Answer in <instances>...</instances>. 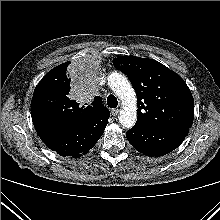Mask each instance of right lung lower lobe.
Here are the masks:
<instances>
[{
    "mask_svg": "<svg viewBox=\"0 0 220 220\" xmlns=\"http://www.w3.org/2000/svg\"><path fill=\"white\" fill-rule=\"evenodd\" d=\"M109 117L110 113H100L74 126H44L36 128V131L41 140L57 154L78 158L95 146Z\"/></svg>",
    "mask_w": 220,
    "mask_h": 220,
    "instance_id": "right-lung-lower-lobe-1",
    "label": "right lung lower lobe"
}]
</instances>
